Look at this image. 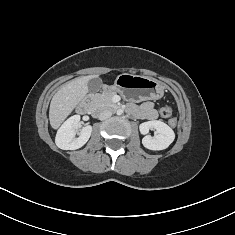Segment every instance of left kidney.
<instances>
[{
  "mask_svg": "<svg viewBox=\"0 0 235 235\" xmlns=\"http://www.w3.org/2000/svg\"><path fill=\"white\" fill-rule=\"evenodd\" d=\"M139 129L141 134L145 135L142 139L143 146L150 150L166 149L175 139L172 128L160 120L141 123ZM149 130H155V137L147 135Z\"/></svg>",
  "mask_w": 235,
  "mask_h": 235,
  "instance_id": "left-kidney-1",
  "label": "left kidney"
}]
</instances>
